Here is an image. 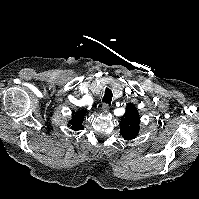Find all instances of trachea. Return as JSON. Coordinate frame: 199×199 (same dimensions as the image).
<instances>
[{"label":"trachea","mask_w":199,"mask_h":199,"mask_svg":"<svg viewBox=\"0 0 199 199\" xmlns=\"http://www.w3.org/2000/svg\"><path fill=\"white\" fill-rule=\"evenodd\" d=\"M112 101V91L109 88L105 89V94L102 98V102L110 105Z\"/></svg>","instance_id":"1"}]
</instances>
